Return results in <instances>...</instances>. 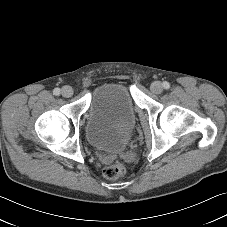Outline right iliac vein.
Instances as JSON below:
<instances>
[{
    "mask_svg": "<svg viewBox=\"0 0 227 227\" xmlns=\"http://www.w3.org/2000/svg\"><path fill=\"white\" fill-rule=\"evenodd\" d=\"M62 96L69 98L73 95V89L70 86H64L61 90Z\"/></svg>",
    "mask_w": 227,
    "mask_h": 227,
    "instance_id": "right-iliac-vein-1",
    "label": "right iliac vein"
}]
</instances>
